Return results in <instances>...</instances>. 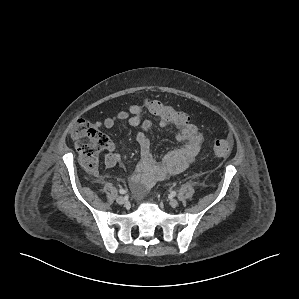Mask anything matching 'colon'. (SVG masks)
Here are the masks:
<instances>
[{
  "instance_id": "5ec220e1",
  "label": "colon",
  "mask_w": 299,
  "mask_h": 299,
  "mask_svg": "<svg viewBox=\"0 0 299 299\" xmlns=\"http://www.w3.org/2000/svg\"><path fill=\"white\" fill-rule=\"evenodd\" d=\"M144 104L149 114L171 125H185L190 122L185 112L159 99L149 98L144 101ZM71 136L84 167L90 171H95L98 166L99 154L108 144L106 136L85 119L75 120L71 129ZM212 150L215 156L226 158L231 154L232 144L228 139H217Z\"/></svg>"
}]
</instances>
